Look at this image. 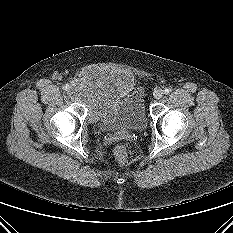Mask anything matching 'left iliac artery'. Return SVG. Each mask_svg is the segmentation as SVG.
Returning a JSON list of instances; mask_svg holds the SVG:
<instances>
[{"label":"left iliac artery","instance_id":"left-iliac-artery-1","mask_svg":"<svg viewBox=\"0 0 233 233\" xmlns=\"http://www.w3.org/2000/svg\"><path fill=\"white\" fill-rule=\"evenodd\" d=\"M170 91H171V89H170V88H165V89H164V94H166V95H167V94H169V93H170Z\"/></svg>","mask_w":233,"mask_h":233}]
</instances>
